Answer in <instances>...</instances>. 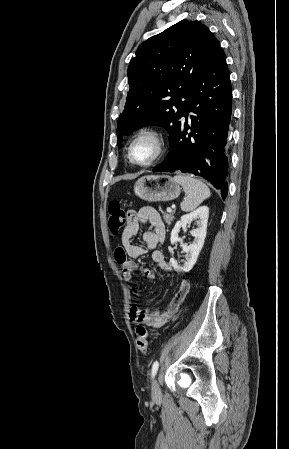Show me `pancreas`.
I'll list each match as a JSON object with an SVG mask.
<instances>
[{
	"label": "pancreas",
	"mask_w": 289,
	"mask_h": 449,
	"mask_svg": "<svg viewBox=\"0 0 289 449\" xmlns=\"http://www.w3.org/2000/svg\"><path fill=\"white\" fill-rule=\"evenodd\" d=\"M162 215H163L165 223L170 225L174 218V216H173L174 212H170V213L162 212Z\"/></svg>",
	"instance_id": "1"
}]
</instances>
